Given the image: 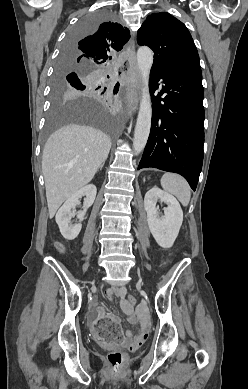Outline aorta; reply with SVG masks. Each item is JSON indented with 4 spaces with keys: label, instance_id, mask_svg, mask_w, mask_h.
Segmentation results:
<instances>
[{
    "label": "aorta",
    "instance_id": "1",
    "mask_svg": "<svg viewBox=\"0 0 248 389\" xmlns=\"http://www.w3.org/2000/svg\"><path fill=\"white\" fill-rule=\"evenodd\" d=\"M137 64L141 75V100L134 131L133 149L141 153L151 128L152 106L149 93V74L153 64V52L149 47H140L137 51Z\"/></svg>",
    "mask_w": 248,
    "mask_h": 389
}]
</instances>
